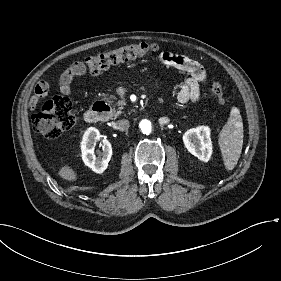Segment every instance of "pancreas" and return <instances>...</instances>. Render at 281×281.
Masks as SVG:
<instances>
[{"label":"pancreas","instance_id":"obj_1","mask_svg":"<svg viewBox=\"0 0 281 281\" xmlns=\"http://www.w3.org/2000/svg\"><path fill=\"white\" fill-rule=\"evenodd\" d=\"M116 105H118V106H123V105H125V102L124 101H118L117 103H116ZM122 114V107H119V110L118 111H113V113H112V117H113V119H115V118H118V117H120V115Z\"/></svg>","mask_w":281,"mask_h":281}]
</instances>
